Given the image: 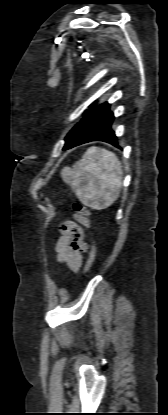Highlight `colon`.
I'll use <instances>...</instances> for the list:
<instances>
[{"instance_id": "5ec220e1", "label": "colon", "mask_w": 168, "mask_h": 415, "mask_svg": "<svg viewBox=\"0 0 168 415\" xmlns=\"http://www.w3.org/2000/svg\"><path fill=\"white\" fill-rule=\"evenodd\" d=\"M72 209L79 214H82L86 217H88L90 215V211L88 210V208L83 205L80 202H73L72 204ZM95 257H96V250L94 245H91L89 250H88V258H87V262H86V271H89L91 269V267L93 266L94 262H95Z\"/></svg>"}]
</instances>
